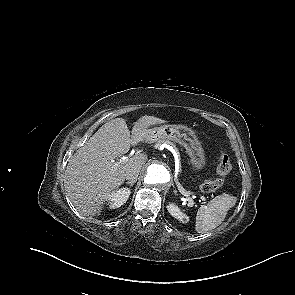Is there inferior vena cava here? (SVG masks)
I'll return each instance as SVG.
<instances>
[{"label":"inferior vena cava","mask_w":295,"mask_h":295,"mask_svg":"<svg viewBox=\"0 0 295 295\" xmlns=\"http://www.w3.org/2000/svg\"><path fill=\"white\" fill-rule=\"evenodd\" d=\"M139 172L140 171L137 168H130L126 171L125 178L130 181H134V180L136 181L139 175Z\"/></svg>","instance_id":"obj_1"}]
</instances>
